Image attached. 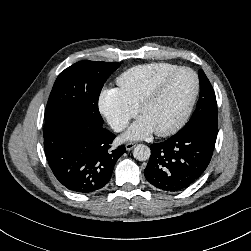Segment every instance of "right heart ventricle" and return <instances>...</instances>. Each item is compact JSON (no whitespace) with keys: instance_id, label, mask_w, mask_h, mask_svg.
I'll return each mask as SVG.
<instances>
[{"instance_id":"right-heart-ventricle-1","label":"right heart ventricle","mask_w":251,"mask_h":251,"mask_svg":"<svg viewBox=\"0 0 251 251\" xmlns=\"http://www.w3.org/2000/svg\"><path fill=\"white\" fill-rule=\"evenodd\" d=\"M178 68V65L166 62L139 65L121 73L116 83L127 102L137 108L143 97L159 80Z\"/></svg>"}]
</instances>
